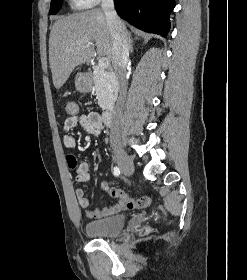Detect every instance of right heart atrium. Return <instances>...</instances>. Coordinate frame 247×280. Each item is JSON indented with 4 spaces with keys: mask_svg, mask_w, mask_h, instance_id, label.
<instances>
[{
    "mask_svg": "<svg viewBox=\"0 0 247 280\" xmlns=\"http://www.w3.org/2000/svg\"><path fill=\"white\" fill-rule=\"evenodd\" d=\"M80 7H90L97 4L100 0H74Z\"/></svg>",
    "mask_w": 247,
    "mask_h": 280,
    "instance_id": "obj_1",
    "label": "right heart atrium"
}]
</instances>
